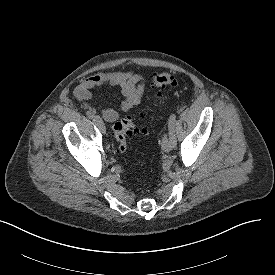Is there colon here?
<instances>
[{"instance_id":"1","label":"colon","mask_w":275,"mask_h":275,"mask_svg":"<svg viewBox=\"0 0 275 275\" xmlns=\"http://www.w3.org/2000/svg\"><path fill=\"white\" fill-rule=\"evenodd\" d=\"M175 85V77L169 72L155 73L150 79L151 88L157 91H163ZM113 133L118 143L119 152L126 153L128 151L127 138L133 134H144L146 129L136 125L132 117L126 116L114 124Z\"/></svg>"}]
</instances>
